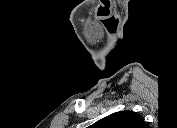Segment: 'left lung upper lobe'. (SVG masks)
<instances>
[{
    "label": "left lung upper lobe",
    "instance_id": "obj_1",
    "mask_svg": "<svg viewBox=\"0 0 177 128\" xmlns=\"http://www.w3.org/2000/svg\"><path fill=\"white\" fill-rule=\"evenodd\" d=\"M95 124L98 128H146L144 119L132 111L115 112Z\"/></svg>",
    "mask_w": 177,
    "mask_h": 128
}]
</instances>
